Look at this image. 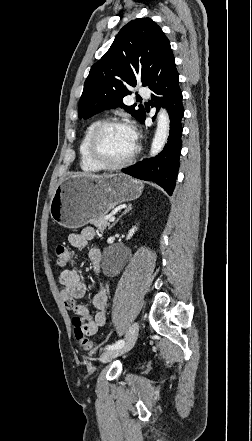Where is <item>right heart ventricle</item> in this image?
I'll use <instances>...</instances> for the list:
<instances>
[{
	"label": "right heart ventricle",
	"instance_id": "1",
	"mask_svg": "<svg viewBox=\"0 0 252 441\" xmlns=\"http://www.w3.org/2000/svg\"><path fill=\"white\" fill-rule=\"evenodd\" d=\"M99 122L100 121L95 120L87 126V128L82 136V139L80 141V144H79L78 151H79L80 167L85 172H99L103 169L99 165L94 163L90 159L89 154H88V142H89L91 133Z\"/></svg>",
	"mask_w": 252,
	"mask_h": 441
}]
</instances>
